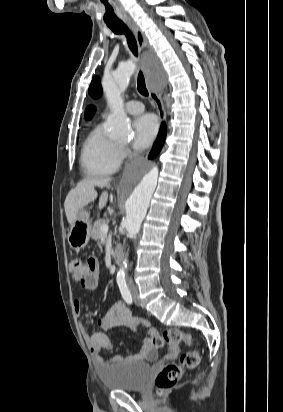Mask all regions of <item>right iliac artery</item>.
<instances>
[{
	"label": "right iliac artery",
	"instance_id": "right-iliac-artery-1",
	"mask_svg": "<svg viewBox=\"0 0 283 412\" xmlns=\"http://www.w3.org/2000/svg\"><path fill=\"white\" fill-rule=\"evenodd\" d=\"M117 283L119 285L120 292L122 294L123 299L128 303L132 304V296L131 293L124 281L123 277H117Z\"/></svg>",
	"mask_w": 283,
	"mask_h": 412
}]
</instances>
